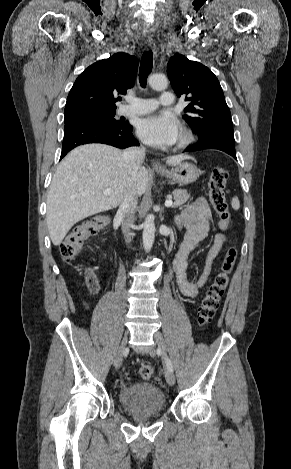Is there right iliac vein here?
<instances>
[{
    "label": "right iliac vein",
    "mask_w": 291,
    "mask_h": 469,
    "mask_svg": "<svg viewBox=\"0 0 291 469\" xmlns=\"http://www.w3.org/2000/svg\"><path fill=\"white\" fill-rule=\"evenodd\" d=\"M127 334H125L123 340H122V343L120 345V348L117 352V355L115 357V360H114V366L115 368H119L122 364V360H123V355H124V352H125V349H126V345H127Z\"/></svg>",
    "instance_id": "1"
}]
</instances>
